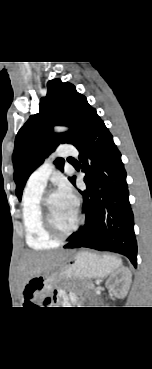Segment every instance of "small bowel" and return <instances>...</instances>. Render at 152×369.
<instances>
[{"mask_svg":"<svg viewBox=\"0 0 152 369\" xmlns=\"http://www.w3.org/2000/svg\"><path fill=\"white\" fill-rule=\"evenodd\" d=\"M70 298H71V300H75V296L74 295H70Z\"/></svg>","mask_w":152,"mask_h":369,"instance_id":"small-bowel-1","label":"small bowel"}]
</instances>
